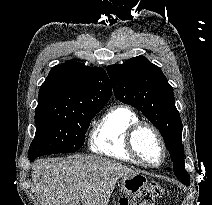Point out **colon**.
<instances>
[{"instance_id": "obj_1", "label": "colon", "mask_w": 212, "mask_h": 205, "mask_svg": "<svg viewBox=\"0 0 212 205\" xmlns=\"http://www.w3.org/2000/svg\"><path fill=\"white\" fill-rule=\"evenodd\" d=\"M167 194L166 190L157 183H151L143 187L132 198H123L118 205H153L154 202L164 197Z\"/></svg>"}]
</instances>
